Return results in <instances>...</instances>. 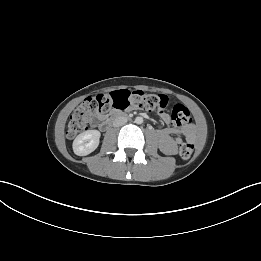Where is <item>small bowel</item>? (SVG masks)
Listing matches in <instances>:
<instances>
[{
	"mask_svg": "<svg viewBox=\"0 0 261 261\" xmlns=\"http://www.w3.org/2000/svg\"><path fill=\"white\" fill-rule=\"evenodd\" d=\"M159 117L163 122L169 124L171 122V117L165 112H159ZM106 118L104 113H99L96 115L98 121H103ZM182 133L187 140L193 141L195 139V130L192 126H187L184 128H163L156 131V137L160 150L168 155H173L177 153L178 145L181 144V137H175L174 134Z\"/></svg>",
	"mask_w": 261,
	"mask_h": 261,
	"instance_id": "obj_1",
	"label": "small bowel"
}]
</instances>
